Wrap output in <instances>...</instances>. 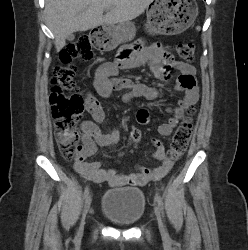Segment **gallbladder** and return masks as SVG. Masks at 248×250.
<instances>
[{
	"label": "gallbladder",
	"mask_w": 248,
	"mask_h": 250,
	"mask_svg": "<svg viewBox=\"0 0 248 250\" xmlns=\"http://www.w3.org/2000/svg\"><path fill=\"white\" fill-rule=\"evenodd\" d=\"M74 38H75L74 34H70V35L67 36V40H69V41L74 40Z\"/></svg>",
	"instance_id": "1"
}]
</instances>
